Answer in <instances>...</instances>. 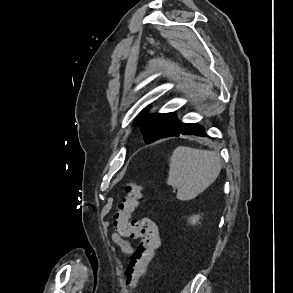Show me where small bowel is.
<instances>
[{
  "label": "small bowel",
  "mask_w": 293,
  "mask_h": 293,
  "mask_svg": "<svg viewBox=\"0 0 293 293\" xmlns=\"http://www.w3.org/2000/svg\"><path fill=\"white\" fill-rule=\"evenodd\" d=\"M120 206V205H119ZM112 241L117 244L121 251L125 254H131L134 251L133 245L126 240L123 236H121L119 233L114 232L111 234Z\"/></svg>",
  "instance_id": "1"
}]
</instances>
